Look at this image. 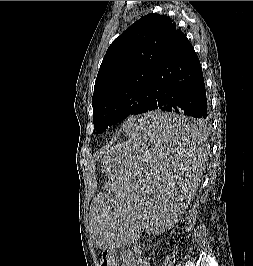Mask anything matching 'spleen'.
Segmentation results:
<instances>
[{
    "label": "spleen",
    "mask_w": 253,
    "mask_h": 266,
    "mask_svg": "<svg viewBox=\"0 0 253 266\" xmlns=\"http://www.w3.org/2000/svg\"><path fill=\"white\" fill-rule=\"evenodd\" d=\"M114 153L105 160L109 207H92L89 233L94 246L138 248L150 229H173L192 204L202 176L205 123L179 111H146L127 117Z\"/></svg>",
    "instance_id": "1"
}]
</instances>
